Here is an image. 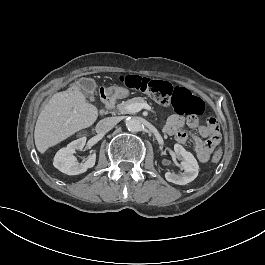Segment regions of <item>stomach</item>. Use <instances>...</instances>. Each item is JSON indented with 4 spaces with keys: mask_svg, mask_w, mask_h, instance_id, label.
<instances>
[{
    "mask_svg": "<svg viewBox=\"0 0 265 265\" xmlns=\"http://www.w3.org/2000/svg\"><path fill=\"white\" fill-rule=\"evenodd\" d=\"M122 91H125V95H128V93H129V91L127 89H124V88H121V87L120 88L110 89V93L114 94L115 96H119L118 92H122Z\"/></svg>",
    "mask_w": 265,
    "mask_h": 265,
    "instance_id": "0dacf381",
    "label": "stomach"
}]
</instances>
